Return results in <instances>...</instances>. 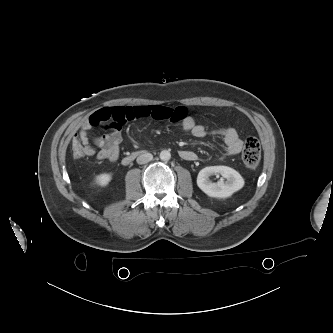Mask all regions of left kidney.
<instances>
[{
    "mask_svg": "<svg viewBox=\"0 0 333 333\" xmlns=\"http://www.w3.org/2000/svg\"><path fill=\"white\" fill-rule=\"evenodd\" d=\"M220 174L226 179H220L217 183H212L210 176ZM198 187L208 196L215 198H227L244 186V179L234 169L228 166H209L203 168L197 176Z\"/></svg>",
    "mask_w": 333,
    "mask_h": 333,
    "instance_id": "1",
    "label": "left kidney"
}]
</instances>
